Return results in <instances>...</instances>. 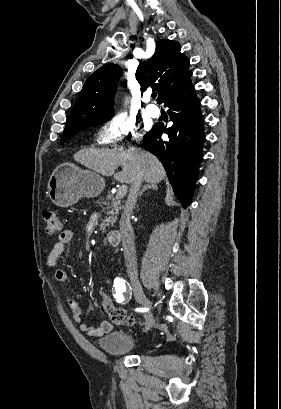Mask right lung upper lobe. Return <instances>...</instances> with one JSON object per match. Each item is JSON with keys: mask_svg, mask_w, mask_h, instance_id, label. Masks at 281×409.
<instances>
[{"mask_svg": "<svg viewBox=\"0 0 281 409\" xmlns=\"http://www.w3.org/2000/svg\"><path fill=\"white\" fill-rule=\"evenodd\" d=\"M178 42L161 39L155 54L139 64L136 79L141 90L152 86L158 91V101L164 102L190 74L189 60L180 53ZM121 69L116 64H107L96 70L83 86L66 127H81L113 116V97Z\"/></svg>", "mask_w": 281, "mask_h": 409, "instance_id": "right-lung-upper-lobe-1", "label": "right lung upper lobe"}]
</instances>
